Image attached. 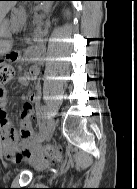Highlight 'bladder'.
Returning <instances> with one entry per match:
<instances>
[{"label": "bladder", "instance_id": "1", "mask_svg": "<svg viewBox=\"0 0 137 189\" xmlns=\"http://www.w3.org/2000/svg\"><path fill=\"white\" fill-rule=\"evenodd\" d=\"M46 168H47L46 164H42V163L38 164V169L45 170Z\"/></svg>", "mask_w": 137, "mask_h": 189}]
</instances>
